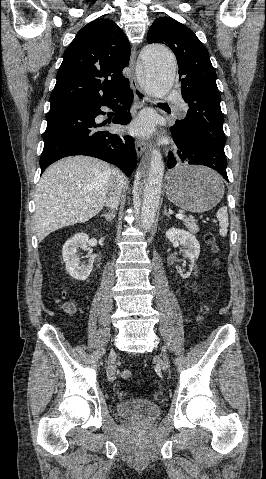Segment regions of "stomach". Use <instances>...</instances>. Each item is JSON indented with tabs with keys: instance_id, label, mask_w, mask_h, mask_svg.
<instances>
[{
	"instance_id": "stomach-1",
	"label": "stomach",
	"mask_w": 266,
	"mask_h": 479,
	"mask_svg": "<svg viewBox=\"0 0 266 479\" xmlns=\"http://www.w3.org/2000/svg\"><path fill=\"white\" fill-rule=\"evenodd\" d=\"M167 179V198L192 213L210 210L224 195L221 177L204 166L180 165L170 171Z\"/></svg>"
}]
</instances>
